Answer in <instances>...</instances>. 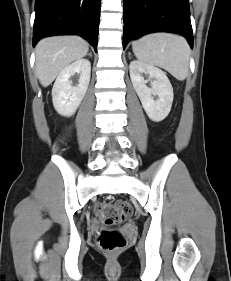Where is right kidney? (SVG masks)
<instances>
[{
  "instance_id": "obj_1",
  "label": "right kidney",
  "mask_w": 231,
  "mask_h": 281,
  "mask_svg": "<svg viewBox=\"0 0 231 281\" xmlns=\"http://www.w3.org/2000/svg\"><path fill=\"white\" fill-rule=\"evenodd\" d=\"M80 75L78 84L72 86L70 78ZM91 64L87 59H79L65 67L58 75L52 89V101L55 110L63 116H72L88 89Z\"/></svg>"
}]
</instances>
